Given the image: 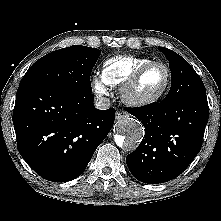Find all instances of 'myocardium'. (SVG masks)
<instances>
[{"instance_id": "myocardium-1", "label": "myocardium", "mask_w": 221, "mask_h": 221, "mask_svg": "<svg viewBox=\"0 0 221 221\" xmlns=\"http://www.w3.org/2000/svg\"><path fill=\"white\" fill-rule=\"evenodd\" d=\"M162 66L166 71V80L164 85L155 93L140 96L136 93V87L142 76L152 67ZM171 84V70L169 66L161 61H151L141 66L120 88V97L122 101L134 107L147 106L157 102L167 92Z\"/></svg>"}]
</instances>
